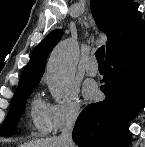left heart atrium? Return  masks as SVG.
Here are the masks:
<instances>
[{"label":"left heart atrium","instance_id":"obj_1","mask_svg":"<svg viewBox=\"0 0 145 147\" xmlns=\"http://www.w3.org/2000/svg\"><path fill=\"white\" fill-rule=\"evenodd\" d=\"M84 95L87 99H95L98 95V90L95 84L87 82L84 86Z\"/></svg>","mask_w":145,"mask_h":147}]
</instances>
